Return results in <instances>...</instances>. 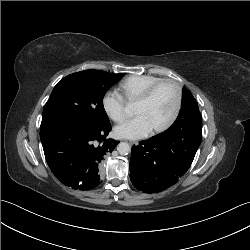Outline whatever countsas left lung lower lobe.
Here are the masks:
<instances>
[{"label":"left lung lower lobe","mask_w":250,"mask_h":250,"mask_svg":"<svg viewBox=\"0 0 250 250\" xmlns=\"http://www.w3.org/2000/svg\"><path fill=\"white\" fill-rule=\"evenodd\" d=\"M186 118L132 147L130 179L135 188L145 193L163 191L189 169L202 140V119Z\"/></svg>","instance_id":"1"}]
</instances>
